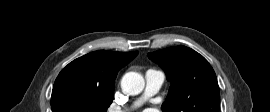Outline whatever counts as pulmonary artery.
<instances>
[{
    "label": "pulmonary artery",
    "mask_w": 270,
    "mask_h": 112,
    "mask_svg": "<svg viewBox=\"0 0 270 112\" xmlns=\"http://www.w3.org/2000/svg\"><path fill=\"white\" fill-rule=\"evenodd\" d=\"M164 80L165 74L162 71L156 69H149L145 73L146 85L144 95L138 103H141L148 97L155 95L160 90ZM111 112H122V111L112 110Z\"/></svg>",
    "instance_id": "pulmonary-artery-1"
}]
</instances>
